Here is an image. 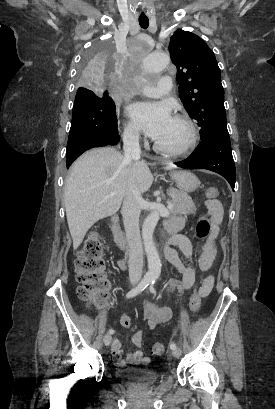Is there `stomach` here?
<instances>
[{"mask_svg": "<svg viewBox=\"0 0 275 409\" xmlns=\"http://www.w3.org/2000/svg\"><path fill=\"white\" fill-rule=\"evenodd\" d=\"M171 176L179 190H184V192H192L200 184L199 178L189 170H172Z\"/></svg>", "mask_w": 275, "mask_h": 409, "instance_id": "0dacf381", "label": "stomach"}]
</instances>
